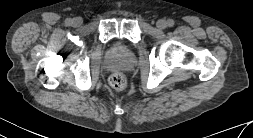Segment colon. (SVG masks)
Instances as JSON below:
<instances>
[{
    "mask_svg": "<svg viewBox=\"0 0 253 138\" xmlns=\"http://www.w3.org/2000/svg\"><path fill=\"white\" fill-rule=\"evenodd\" d=\"M109 82L111 87L116 91H123L127 85L125 76L120 72L112 74L109 79Z\"/></svg>",
    "mask_w": 253,
    "mask_h": 138,
    "instance_id": "obj_1",
    "label": "colon"
}]
</instances>
